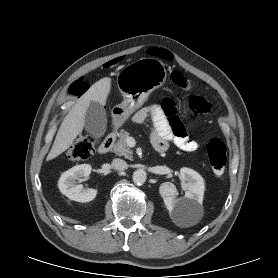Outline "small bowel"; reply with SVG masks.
<instances>
[{
  "instance_id": "small-bowel-1",
  "label": "small bowel",
  "mask_w": 278,
  "mask_h": 278,
  "mask_svg": "<svg viewBox=\"0 0 278 278\" xmlns=\"http://www.w3.org/2000/svg\"><path fill=\"white\" fill-rule=\"evenodd\" d=\"M149 120L152 125V143L154 148L163 152L172 141L184 151H195L199 144L189 137L185 126L177 116L174 102L164 98L161 104H150L132 116L134 123H143Z\"/></svg>"
}]
</instances>
